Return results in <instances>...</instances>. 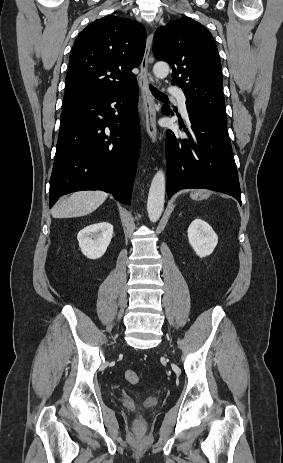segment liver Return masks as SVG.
Returning <instances> with one entry per match:
<instances>
[{"mask_svg": "<svg viewBox=\"0 0 283 463\" xmlns=\"http://www.w3.org/2000/svg\"><path fill=\"white\" fill-rule=\"evenodd\" d=\"M108 197L103 191H81L58 202L52 210L53 218H73L95 211Z\"/></svg>", "mask_w": 283, "mask_h": 463, "instance_id": "1", "label": "liver"}]
</instances>
